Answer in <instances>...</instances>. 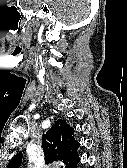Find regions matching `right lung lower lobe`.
<instances>
[{"label": "right lung lower lobe", "instance_id": "obj_1", "mask_svg": "<svg viewBox=\"0 0 127 168\" xmlns=\"http://www.w3.org/2000/svg\"><path fill=\"white\" fill-rule=\"evenodd\" d=\"M79 162V159L75 162L74 165L71 166V168H76L77 163Z\"/></svg>", "mask_w": 127, "mask_h": 168}]
</instances>
